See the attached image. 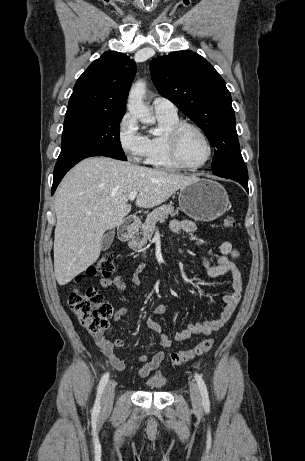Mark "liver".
Returning a JSON list of instances; mask_svg holds the SVG:
<instances>
[{
    "instance_id": "6515ba94",
    "label": "liver",
    "mask_w": 305,
    "mask_h": 461,
    "mask_svg": "<svg viewBox=\"0 0 305 461\" xmlns=\"http://www.w3.org/2000/svg\"><path fill=\"white\" fill-rule=\"evenodd\" d=\"M196 179L107 157L77 164L60 183L54 199L58 284L69 283L98 259L104 233L120 225L131 211V192H138L136 206L152 208Z\"/></svg>"
}]
</instances>
